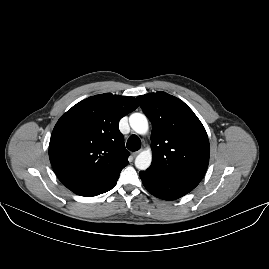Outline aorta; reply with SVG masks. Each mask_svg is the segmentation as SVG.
<instances>
[{
	"label": "aorta",
	"mask_w": 269,
	"mask_h": 269,
	"mask_svg": "<svg viewBox=\"0 0 269 269\" xmlns=\"http://www.w3.org/2000/svg\"><path fill=\"white\" fill-rule=\"evenodd\" d=\"M129 123L131 128L141 136H147L149 134V122L145 115L140 113H134L130 116ZM152 150L145 148L142 150L135 159L137 168L145 170L150 167L152 163Z\"/></svg>",
	"instance_id": "1"
}]
</instances>
